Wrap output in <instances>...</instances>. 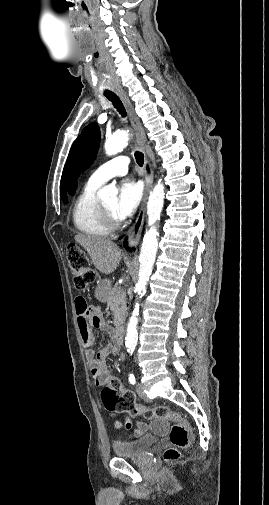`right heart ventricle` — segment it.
I'll use <instances>...</instances> for the list:
<instances>
[{
	"label": "right heart ventricle",
	"instance_id": "right-heart-ventricle-1",
	"mask_svg": "<svg viewBox=\"0 0 269 505\" xmlns=\"http://www.w3.org/2000/svg\"><path fill=\"white\" fill-rule=\"evenodd\" d=\"M99 187L100 185L88 181L77 196L72 209L75 228L85 235L94 237L106 236L110 231L97 198Z\"/></svg>",
	"mask_w": 269,
	"mask_h": 505
}]
</instances>
